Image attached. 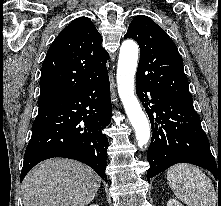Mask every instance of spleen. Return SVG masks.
<instances>
[{"mask_svg": "<svg viewBox=\"0 0 221 206\" xmlns=\"http://www.w3.org/2000/svg\"><path fill=\"white\" fill-rule=\"evenodd\" d=\"M175 196L188 206H216L217 196L210 178L198 167L177 164L167 171Z\"/></svg>", "mask_w": 221, "mask_h": 206, "instance_id": "3e777b00", "label": "spleen"}]
</instances>
